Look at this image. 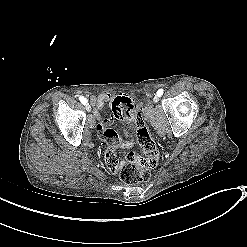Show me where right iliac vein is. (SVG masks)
<instances>
[{
  "instance_id": "63e3f726",
  "label": "right iliac vein",
  "mask_w": 247,
  "mask_h": 247,
  "mask_svg": "<svg viewBox=\"0 0 247 247\" xmlns=\"http://www.w3.org/2000/svg\"><path fill=\"white\" fill-rule=\"evenodd\" d=\"M86 110L88 112H91V105L89 103H86Z\"/></svg>"
}]
</instances>
